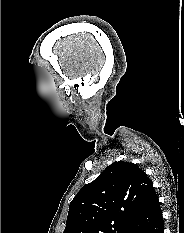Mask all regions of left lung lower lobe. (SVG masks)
I'll use <instances>...</instances> for the list:
<instances>
[{"mask_svg": "<svg viewBox=\"0 0 184 233\" xmlns=\"http://www.w3.org/2000/svg\"><path fill=\"white\" fill-rule=\"evenodd\" d=\"M129 233H164L162 211L155 190L149 195Z\"/></svg>", "mask_w": 184, "mask_h": 233, "instance_id": "1", "label": "left lung lower lobe"}]
</instances>
